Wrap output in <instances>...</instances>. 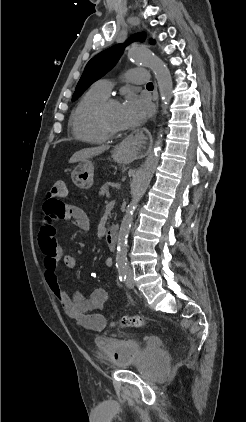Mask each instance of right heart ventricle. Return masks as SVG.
<instances>
[{"label":"right heart ventricle","mask_w":246,"mask_h":422,"mask_svg":"<svg viewBox=\"0 0 246 422\" xmlns=\"http://www.w3.org/2000/svg\"><path fill=\"white\" fill-rule=\"evenodd\" d=\"M107 94L96 87L88 90L77 103L71 114V127L74 136L84 142L99 144L107 140L95 119L98 105L107 98Z\"/></svg>","instance_id":"1"}]
</instances>
